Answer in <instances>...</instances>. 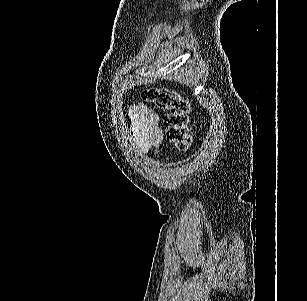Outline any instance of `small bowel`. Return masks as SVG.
I'll return each instance as SVG.
<instances>
[{
  "mask_svg": "<svg viewBox=\"0 0 307 301\" xmlns=\"http://www.w3.org/2000/svg\"><path fill=\"white\" fill-rule=\"evenodd\" d=\"M131 136L142 153L157 152L163 141L158 115L147 105L139 103L129 108Z\"/></svg>",
  "mask_w": 307,
  "mask_h": 301,
  "instance_id": "small-bowel-1",
  "label": "small bowel"
}]
</instances>
